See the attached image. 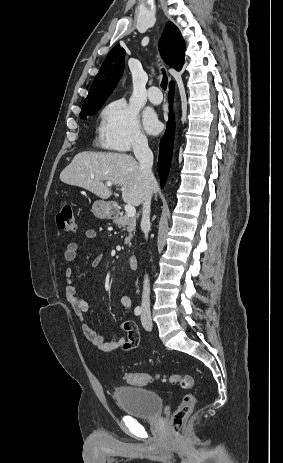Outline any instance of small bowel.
<instances>
[{"instance_id":"obj_1","label":"small bowel","mask_w":283,"mask_h":463,"mask_svg":"<svg viewBox=\"0 0 283 463\" xmlns=\"http://www.w3.org/2000/svg\"><path fill=\"white\" fill-rule=\"evenodd\" d=\"M85 238L89 241H93L97 238V232L94 229H88L85 231L84 234ZM79 244L77 242H70L64 251V258L66 261L73 262L77 258V253L79 251ZM103 260V255L95 256L92 261L91 265L93 267L98 266ZM74 276V270L72 268H67L65 270V279H66V286L64 289V295L66 300L71 305L74 312L81 318L82 320V331L84 336L87 340L99 351L102 353L110 352L116 350L118 348H122L125 351H130L135 349L139 344V332L137 329L136 324L134 321L128 319L123 321L119 325V330L125 332L124 336H121L117 340H110L107 339L103 334L97 332L94 328H92L89 324H87L84 319L83 315L88 310L87 302L80 297L72 284V279ZM120 304L122 307L127 311L130 312L132 307V302L129 296L122 294L120 296Z\"/></svg>"}]
</instances>
